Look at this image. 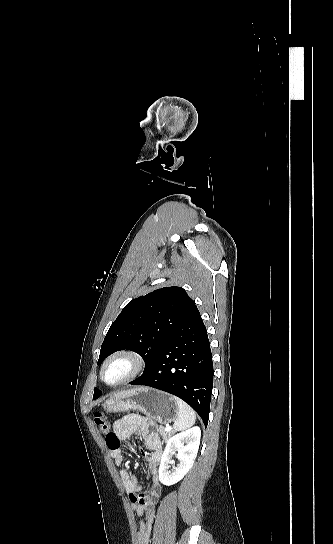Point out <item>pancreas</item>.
I'll use <instances>...</instances> for the list:
<instances>
[{"instance_id": "cf45deb5", "label": "pancreas", "mask_w": 333, "mask_h": 544, "mask_svg": "<svg viewBox=\"0 0 333 544\" xmlns=\"http://www.w3.org/2000/svg\"><path fill=\"white\" fill-rule=\"evenodd\" d=\"M159 433L162 436L163 440L166 442L173 435L174 431H165V428L161 425L159 427Z\"/></svg>"}]
</instances>
